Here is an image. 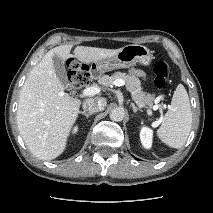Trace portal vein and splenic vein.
I'll use <instances>...</instances> for the list:
<instances>
[{
	"label": "portal vein and splenic vein",
	"instance_id": "obj_1",
	"mask_svg": "<svg viewBox=\"0 0 213 213\" xmlns=\"http://www.w3.org/2000/svg\"><path fill=\"white\" fill-rule=\"evenodd\" d=\"M113 84H114L115 86L120 87V86H124V85H125V81H124L123 79H116V80L113 82ZM100 91H101V90H100L99 87H97V86H90V87L85 88V89L82 91V94L85 95V96H93V95H95V94L100 93ZM158 107H159L158 105H154V106H153V110H157ZM147 114H148V115H151L152 112H151L150 110H148V111H147Z\"/></svg>",
	"mask_w": 213,
	"mask_h": 213
}]
</instances>
